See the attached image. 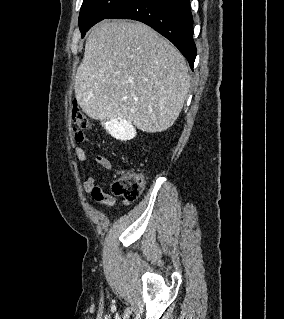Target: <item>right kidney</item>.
<instances>
[{
    "instance_id": "ca27d5eb",
    "label": "right kidney",
    "mask_w": 284,
    "mask_h": 319,
    "mask_svg": "<svg viewBox=\"0 0 284 319\" xmlns=\"http://www.w3.org/2000/svg\"><path fill=\"white\" fill-rule=\"evenodd\" d=\"M106 129L111 134V136L119 140H130L133 139L136 135V132L133 129L131 123L122 119L113 120L108 125H106Z\"/></svg>"
}]
</instances>
